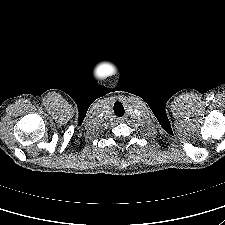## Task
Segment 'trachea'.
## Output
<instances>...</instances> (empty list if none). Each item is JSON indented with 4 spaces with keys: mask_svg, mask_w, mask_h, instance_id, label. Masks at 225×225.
<instances>
[{
    "mask_svg": "<svg viewBox=\"0 0 225 225\" xmlns=\"http://www.w3.org/2000/svg\"><path fill=\"white\" fill-rule=\"evenodd\" d=\"M114 113L116 116L121 117L124 115V107L120 102H115L114 104Z\"/></svg>",
    "mask_w": 225,
    "mask_h": 225,
    "instance_id": "trachea-1",
    "label": "trachea"
}]
</instances>
